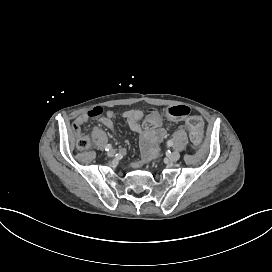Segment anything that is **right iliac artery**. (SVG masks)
I'll return each mask as SVG.
<instances>
[{
    "instance_id": "1",
    "label": "right iliac artery",
    "mask_w": 272,
    "mask_h": 272,
    "mask_svg": "<svg viewBox=\"0 0 272 272\" xmlns=\"http://www.w3.org/2000/svg\"><path fill=\"white\" fill-rule=\"evenodd\" d=\"M111 148H112V146H111L110 144H107V145L105 146V150H106V151H109Z\"/></svg>"
}]
</instances>
